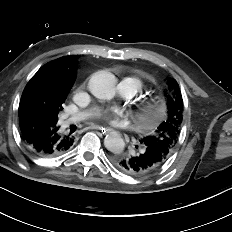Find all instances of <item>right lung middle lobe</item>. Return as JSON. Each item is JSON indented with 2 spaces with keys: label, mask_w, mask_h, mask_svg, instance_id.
Returning <instances> with one entry per match:
<instances>
[{
  "label": "right lung middle lobe",
  "mask_w": 232,
  "mask_h": 232,
  "mask_svg": "<svg viewBox=\"0 0 232 232\" xmlns=\"http://www.w3.org/2000/svg\"><path fill=\"white\" fill-rule=\"evenodd\" d=\"M65 100V94L44 81L38 84L31 94L22 95L18 109L19 119L30 117L32 110L37 109L47 126L56 127L58 126V113L63 109L62 105Z\"/></svg>",
  "instance_id": "right-lung-middle-lobe-1"
}]
</instances>
